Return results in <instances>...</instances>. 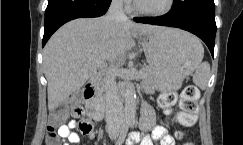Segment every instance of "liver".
Masks as SVG:
<instances>
[{
    "mask_svg": "<svg viewBox=\"0 0 243 145\" xmlns=\"http://www.w3.org/2000/svg\"><path fill=\"white\" fill-rule=\"evenodd\" d=\"M164 28L129 20L111 22L107 15L75 19L63 25L43 52L49 111L80 89L106 60H114L132 49L135 38Z\"/></svg>",
    "mask_w": 243,
    "mask_h": 145,
    "instance_id": "liver-1",
    "label": "liver"
}]
</instances>
